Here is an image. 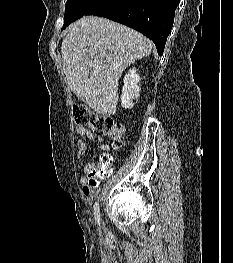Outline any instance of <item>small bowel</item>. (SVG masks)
<instances>
[{"label": "small bowel", "instance_id": "small-bowel-1", "mask_svg": "<svg viewBox=\"0 0 233 263\" xmlns=\"http://www.w3.org/2000/svg\"><path fill=\"white\" fill-rule=\"evenodd\" d=\"M78 134L81 139H79L76 143L77 146V164L78 167L82 169L84 175L81 178V184L83 186V193L85 197L90 200L96 193V189H90L88 185V175L92 171L94 164L92 162H85L83 160L88 146L87 143L92 142L96 144V150L98 151H109V146L104 142V138L102 136H96L91 130L86 129L84 127H79L77 129Z\"/></svg>", "mask_w": 233, "mask_h": 263}]
</instances>
